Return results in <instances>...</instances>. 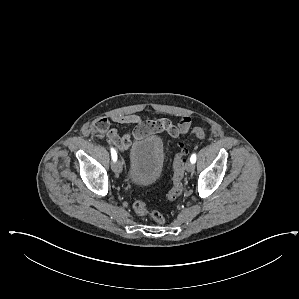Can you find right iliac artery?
<instances>
[{
    "mask_svg": "<svg viewBox=\"0 0 299 299\" xmlns=\"http://www.w3.org/2000/svg\"><path fill=\"white\" fill-rule=\"evenodd\" d=\"M113 162L117 160V153L113 147L110 148Z\"/></svg>",
    "mask_w": 299,
    "mask_h": 299,
    "instance_id": "right-iliac-artery-1",
    "label": "right iliac artery"
}]
</instances>
